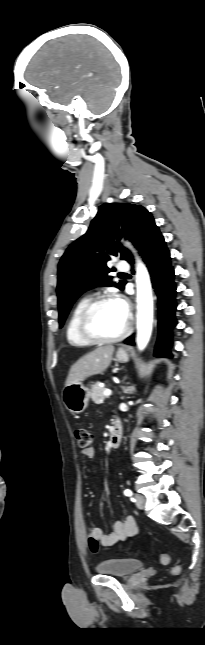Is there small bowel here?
<instances>
[{"instance_id":"c3829d8e","label":"small bowel","mask_w":205,"mask_h":645,"mask_svg":"<svg viewBox=\"0 0 205 645\" xmlns=\"http://www.w3.org/2000/svg\"><path fill=\"white\" fill-rule=\"evenodd\" d=\"M86 458L95 457V449L88 447L81 451ZM138 528L135 520L131 516H126L121 520L114 522L110 532H104L100 527H94L88 533V546L93 553H98L102 549L114 546L117 542L126 540L136 535Z\"/></svg>"}]
</instances>
